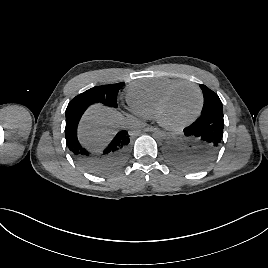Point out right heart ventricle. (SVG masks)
Returning a JSON list of instances; mask_svg holds the SVG:
<instances>
[{"label": "right heart ventricle", "mask_w": 268, "mask_h": 268, "mask_svg": "<svg viewBox=\"0 0 268 268\" xmlns=\"http://www.w3.org/2000/svg\"><path fill=\"white\" fill-rule=\"evenodd\" d=\"M184 82L172 78H152L138 80L127 89V100L130 106L150 118L155 115L157 104L161 97L173 86Z\"/></svg>", "instance_id": "e07e8e85"}]
</instances>
